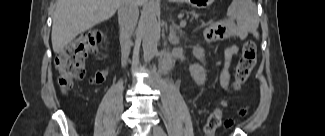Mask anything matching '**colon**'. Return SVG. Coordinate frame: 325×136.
<instances>
[{
	"label": "colon",
	"mask_w": 325,
	"mask_h": 136,
	"mask_svg": "<svg viewBox=\"0 0 325 136\" xmlns=\"http://www.w3.org/2000/svg\"><path fill=\"white\" fill-rule=\"evenodd\" d=\"M101 43V34L97 32L84 33L67 44L56 56L58 85L62 91H69L73 85L85 75L84 62L86 58L96 53ZM256 62V45L248 40L243 44L237 64L233 89L239 90L246 82ZM227 101H223L208 116L204 125L206 136H213L221 124L223 109Z\"/></svg>",
	"instance_id": "5ec220e1"
}]
</instances>
